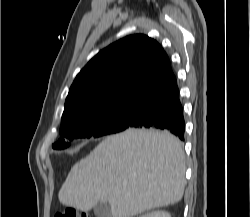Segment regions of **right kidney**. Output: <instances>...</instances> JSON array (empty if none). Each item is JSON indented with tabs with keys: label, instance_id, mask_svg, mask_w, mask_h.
I'll return each mask as SVG.
<instances>
[{
	"label": "right kidney",
	"instance_id": "ca27d5eb",
	"mask_svg": "<svg viewBox=\"0 0 250 217\" xmlns=\"http://www.w3.org/2000/svg\"><path fill=\"white\" fill-rule=\"evenodd\" d=\"M140 217H171V215L167 211L157 210V211L149 212V213L142 215Z\"/></svg>",
	"mask_w": 250,
	"mask_h": 217
}]
</instances>
